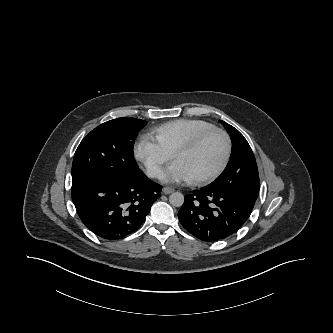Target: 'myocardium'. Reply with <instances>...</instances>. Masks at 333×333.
Masks as SVG:
<instances>
[{
    "label": "myocardium",
    "instance_id": "myocardium-1",
    "mask_svg": "<svg viewBox=\"0 0 333 333\" xmlns=\"http://www.w3.org/2000/svg\"><path fill=\"white\" fill-rule=\"evenodd\" d=\"M213 133H218L223 136L225 143H226V151H225V156L223 158V161L221 162L220 166L211 174L204 176V177H199V178H193L191 179V182L196 185H206L214 180H216L227 168L231 156H232V150H233V145H232V140L229 134L219 128V127H212L207 130H204L194 137H192L188 142L184 143L181 145L179 148L175 150V152L172 154V158L175 161L177 157L180 155H183L185 153H188L192 150H194L203 140H205L209 135Z\"/></svg>",
    "mask_w": 333,
    "mask_h": 333
}]
</instances>
